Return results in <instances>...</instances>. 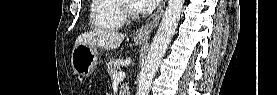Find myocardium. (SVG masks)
<instances>
[{
  "label": "myocardium",
  "instance_id": "1",
  "mask_svg": "<svg viewBox=\"0 0 277 95\" xmlns=\"http://www.w3.org/2000/svg\"><path fill=\"white\" fill-rule=\"evenodd\" d=\"M118 10L128 20H135L143 14V11L135 6L133 0H120Z\"/></svg>",
  "mask_w": 277,
  "mask_h": 95
}]
</instances>
